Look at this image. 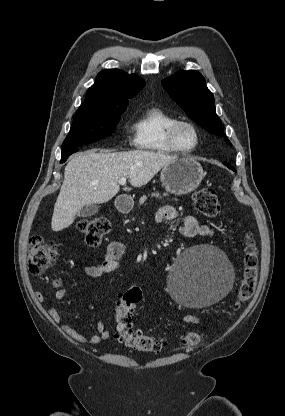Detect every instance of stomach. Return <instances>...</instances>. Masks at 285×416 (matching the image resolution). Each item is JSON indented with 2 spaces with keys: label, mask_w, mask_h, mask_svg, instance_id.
I'll return each instance as SVG.
<instances>
[{
  "label": "stomach",
  "mask_w": 285,
  "mask_h": 416,
  "mask_svg": "<svg viewBox=\"0 0 285 416\" xmlns=\"http://www.w3.org/2000/svg\"><path fill=\"white\" fill-rule=\"evenodd\" d=\"M204 178L201 164L193 158H176L163 166L160 180L169 194L182 196L198 188Z\"/></svg>",
  "instance_id": "obj_1"
}]
</instances>
